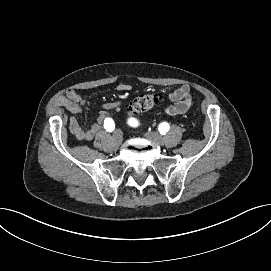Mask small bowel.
<instances>
[{
    "label": "small bowel",
    "mask_w": 271,
    "mask_h": 271,
    "mask_svg": "<svg viewBox=\"0 0 271 271\" xmlns=\"http://www.w3.org/2000/svg\"><path fill=\"white\" fill-rule=\"evenodd\" d=\"M131 89V85L126 83H121L117 86V90L120 92H129ZM169 99L171 104L164 109L166 115L176 116L185 114L192 103L189 86H180L169 94ZM57 105L65 108L71 113L72 116L70 117L69 126L75 137L79 140L89 141L95 137L101 126L104 124V121L108 116L106 111L120 109L122 107V102L113 101L104 103L102 105L104 111L99 115L97 121L87 129H84L75 118V115L81 113L84 106L83 98L75 90H69L65 95L60 96L57 99Z\"/></svg>",
    "instance_id": "c3829d8e"
}]
</instances>
